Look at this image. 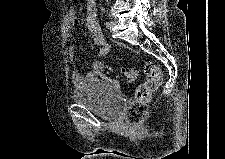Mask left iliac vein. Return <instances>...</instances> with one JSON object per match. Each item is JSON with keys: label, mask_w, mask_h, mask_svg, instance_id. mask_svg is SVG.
I'll return each mask as SVG.
<instances>
[{"label": "left iliac vein", "mask_w": 225, "mask_h": 159, "mask_svg": "<svg viewBox=\"0 0 225 159\" xmlns=\"http://www.w3.org/2000/svg\"><path fill=\"white\" fill-rule=\"evenodd\" d=\"M116 24H117V20L110 21L109 25L107 26V29L112 30Z\"/></svg>", "instance_id": "obj_1"}]
</instances>
